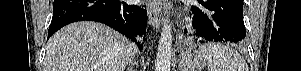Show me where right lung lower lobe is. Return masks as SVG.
Returning <instances> with one entry per match:
<instances>
[{
	"instance_id": "right-lung-lower-lobe-1",
	"label": "right lung lower lobe",
	"mask_w": 301,
	"mask_h": 71,
	"mask_svg": "<svg viewBox=\"0 0 301 71\" xmlns=\"http://www.w3.org/2000/svg\"><path fill=\"white\" fill-rule=\"evenodd\" d=\"M85 20L104 23L135 41L134 36L145 35L147 11L118 0H54L48 38L69 23Z\"/></svg>"
}]
</instances>
